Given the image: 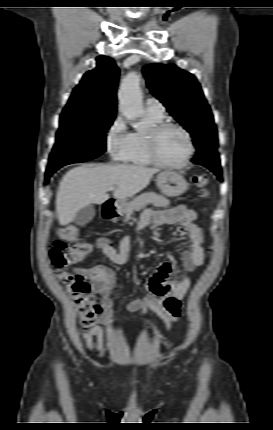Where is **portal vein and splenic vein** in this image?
I'll return each mask as SVG.
<instances>
[{"label": "portal vein and splenic vein", "mask_w": 273, "mask_h": 430, "mask_svg": "<svg viewBox=\"0 0 273 430\" xmlns=\"http://www.w3.org/2000/svg\"><path fill=\"white\" fill-rule=\"evenodd\" d=\"M115 188L113 186L109 187L108 190H114Z\"/></svg>", "instance_id": "18ae733b"}]
</instances>
